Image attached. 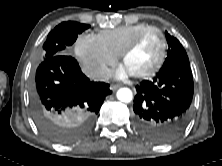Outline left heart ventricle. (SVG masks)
<instances>
[{
    "label": "left heart ventricle",
    "instance_id": "left-heart-ventricle-1",
    "mask_svg": "<svg viewBox=\"0 0 222 166\" xmlns=\"http://www.w3.org/2000/svg\"><path fill=\"white\" fill-rule=\"evenodd\" d=\"M160 51L161 39L159 35L155 32H150L123 60L122 64L131 74L145 71L155 64Z\"/></svg>",
    "mask_w": 222,
    "mask_h": 166
}]
</instances>
